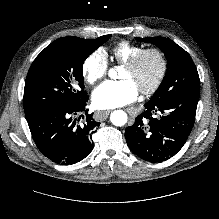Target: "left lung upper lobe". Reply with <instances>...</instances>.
I'll return each mask as SVG.
<instances>
[{
    "mask_svg": "<svg viewBox=\"0 0 219 219\" xmlns=\"http://www.w3.org/2000/svg\"><path fill=\"white\" fill-rule=\"evenodd\" d=\"M136 40L158 46L168 59L169 74L149 100L158 103L168 101L176 96L200 92V80L190 55L174 41L165 37H148Z\"/></svg>",
    "mask_w": 219,
    "mask_h": 219,
    "instance_id": "1",
    "label": "left lung upper lobe"
}]
</instances>
